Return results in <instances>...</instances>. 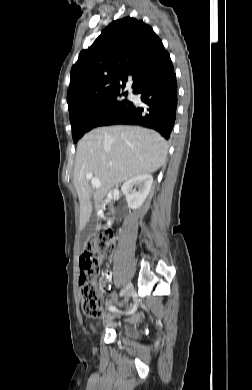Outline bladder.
I'll return each mask as SVG.
<instances>
[{
	"label": "bladder",
	"mask_w": 252,
	"mask_h": 390,
	"mask_svg": "<svg viewBox=\"0 0 252 390\" xmlns=\"http://www.w3.org/2000/svg\"><path fill=\"white\" fill-rule=\"evenodd\" d=\"M93 331H96V327H92ZM119 336L127 341H133L136 339L137 334L134 330V326L132 325H124L122 329L119 331Z\"/></svg>",
	"instance_id": "1"
}]
</instances>
